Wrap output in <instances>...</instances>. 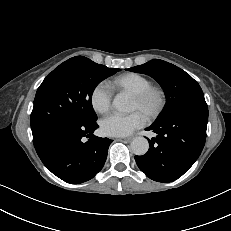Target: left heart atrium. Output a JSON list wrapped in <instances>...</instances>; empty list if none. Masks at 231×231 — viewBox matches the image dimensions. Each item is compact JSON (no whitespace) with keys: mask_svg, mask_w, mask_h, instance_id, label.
Returning <instances> with one entry per match:
<instances>
[{"mask_svg":"<svg viewBox=\"0 0 231 231\" xmlns=\"http://www.w3.org/2000/svg\"><path fill=\"white\" fill-rule=\"evenodd\" d=\"M145 115L134 111L128 115L111 114L101 121V130L107 136L123 137L144 126Z\"/></svg>","mask_w":231,"mask_h":231,"instance_id":"1","label":"left heart atrium"}]
</instances>
